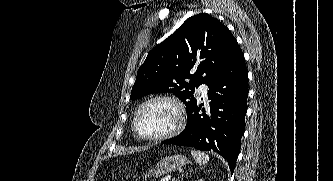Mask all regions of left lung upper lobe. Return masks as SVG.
Listing matches in <instances>:
<instances>
[{"mask_svg": "<svg viewBox=\"0 0 333 181\" xmlns=\"http://www.w3.org/2000/svg\"><path fill=\"white\" fill-rule=\"evenodd\" d=\"M238 49L235 37L218 19L205 13L190 17L150 51L137 72L131 100L169 92L189 112L199 103L195 88L207 83Z\"/></svg>", "mask_w": 333, "mask_h": 181, "instance_id": "5c2ea615", "label": "left lung upper lobe"}]
</instances>
